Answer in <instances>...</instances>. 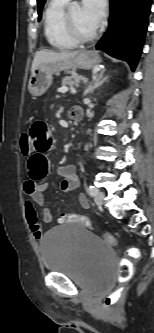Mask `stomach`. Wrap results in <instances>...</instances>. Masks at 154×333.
Returning a JSON list of instances; mask_svg holds the SVG:
<instances>
[{"instance_id": "1", "label": "stomach", "mask_w": 154, "mask_h": 333, "mask_svg": "<svg viewBox=\"0 0 154 333\" xmlns=\"http://www.w3.org/2000/svg\"><path fill=\"white\" fill-rule=\"evenodd\" d=\"M101 63V58L94 51L84 50L75 57L56 62L41 64L31 73L28 89L33 96L43 95L51 86L54 74L61 71L81 69H92Z\"/></svg>"}]
</instances>
